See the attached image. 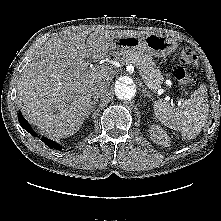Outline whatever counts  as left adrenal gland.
Listing matches in <instances>:
<instances>
[{
  "mask_svg": "<svg viewBox=\"0 0 221 221\" xmlns=\"http://www.w3.org/2000/svg\"><path fill=\"white\" fill-rule=\"evenodd\" d=\"M142 93H143L144 97H148L149 99H151L153 101L152 94L150 91L147 90V88H143Z\"/></svg>",
  "mask_w": 221,
  "mask_h": 221,
  "instance_id": "a2214340",
  "label": "left adrenal gland"
}]
</instances>
